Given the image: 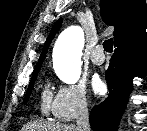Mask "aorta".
<instances>
[{
    "mask_svg": "<svg viewBox=\"0 0 147 131\" xmlns=\"http://www.w3.org/2000/svg\"><path fill=\"white\" fill-rule=\"evenodd\" d=\"M84 33L78 26L64 30L53 50V66L57 76L66 84H75L81 75V55Z\"/></svg>",
    "mask_w": 147,
    "mask_h": 131,
    "instance_id": "aorta-1",
    "label": "aorta"
}]
</instances>
